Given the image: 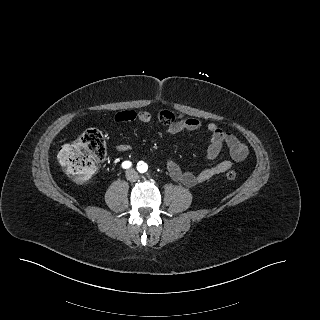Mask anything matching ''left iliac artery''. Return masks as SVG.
Listing matches in <instances>:
<instances>
[{"instance_id":"obj_1","label":"left iliac artery","mask_w":320,"mask_h":320,"mask_svg":"<svg viewBox=\"0 0 320 320\" xmlns=\"http://www.w3.org/2000/svg\"><path fill=\"white\" fill-rule=\"evenodd\" d=\"M137 169H138L139 172L144 173V172L147 171L148 166H147V164H146L145 162L140 161V162L138 163Z\"/></svg>"}]
</instances>
